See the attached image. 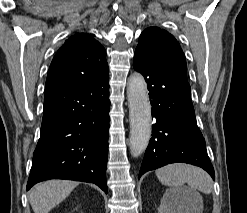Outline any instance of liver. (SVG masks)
<instances>
[{
	"instance_id": "obj_1",
	"label": "liver",
	"mask_w": 247,
	"mask_h": 213,
	"mask_svg": "<svg viewBox=\"0 0 247 213\" xmlns=\"http://www.w3.org/2000/svg\"><path fill=\"white\" fill-rule=\"evenodd\" d=\"M78 182L67 180H49L36 185L29 194V201L34 213H49V211L62 202Z\"/></svg>"
}]
</instances>
